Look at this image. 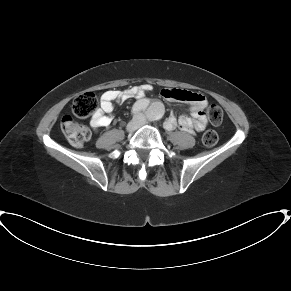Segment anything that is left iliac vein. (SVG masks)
<instances>
[{
  "mask_svg": "<svg viewBox=\"0 0 291 291\" xmlns=\"http://www.w3.org/2000/svg\"><path fill=\"white\" fill-rule=\"evenodd\" d=\"M145 124H147V121H146V120H142V121L140 122V125H145Z\"/></svg>",
  "mask_w": 291,
  "mask_h": 291,
  "instance_id": "left-iliac-vein-1",
  "label": "left iliac vein"
}]
</instances>
